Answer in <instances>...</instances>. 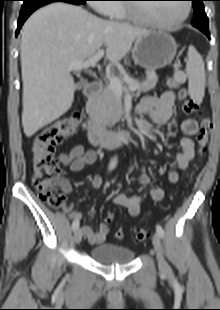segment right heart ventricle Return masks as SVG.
Here are the masks:
<instances>
[{
	"instance_id": "right-heart-ventricle-1",
	"label": "right heart ventricle",
	"mask_w": 220,
	"mask_h": 310,
	"mask_svg": "<svg viewBox=\"0 0 220 310\" xmlns=\"http://www.w3.org/2000/svg\"><path fill=\"white\" fill-rule=\"evenodd\" d=\"M113 5V4H112ZM125 5H113V7L109 10L108 15L112 18L123 20L127 18V13L125 10Z\"/></svg>"
}]
</instances>
